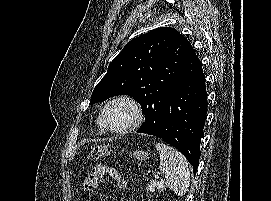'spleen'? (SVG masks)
<instances>
[{"label": "spleen", "instance_id": "1", "mask_svg": "<svg viewBox=\"0 0 271 201\" xmlns=\"http://www.w3.org/2000/svg\"><path fill=\"white\" fill-rule=\"evenodd\" d=\"M160 154L159 169L165 174L164 185L177 196L182 197L190 185V171L186 158L175 148L158 142L155 145Z\"/></svg>", "mask_w": 271, "mask_h": 201}]
</instances>
